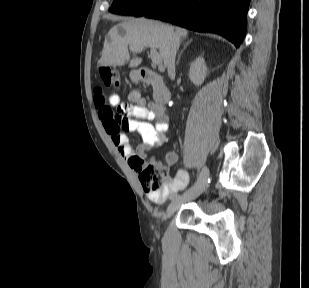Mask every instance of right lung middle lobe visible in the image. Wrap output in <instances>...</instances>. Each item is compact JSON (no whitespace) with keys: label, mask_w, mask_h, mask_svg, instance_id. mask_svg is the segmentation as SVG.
I'll return each mask as SVG.
<instances>
[{"label":"right lung middle lobe","mask_w":309,"mask_h":288,"mask_svg":"<svg viewBox=\"0 0 309 288\" xmlns=\"http://www.w3.org/2000/svg\"><path fill=\"white\" fill-rule=\"evenodd\" d=\"M165 0H114L109 11L114 14L143 16Z\"/></svg>","instance_id":"obj_1"}]
</instances>
